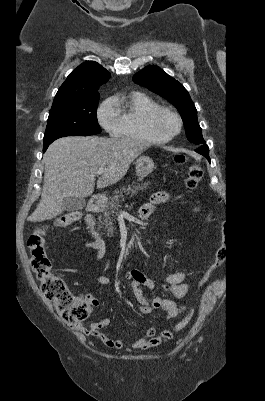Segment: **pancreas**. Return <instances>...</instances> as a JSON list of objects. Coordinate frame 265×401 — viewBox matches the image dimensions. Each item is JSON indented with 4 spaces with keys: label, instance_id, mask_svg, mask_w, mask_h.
I'll list each match as a JSON object with an SVG mask.
<instances>
[{
    "label": "pancreas",
    "instance_id": "obj_1",
    "mask_svg": "<svg viewBox=\"0 0 265 401\" xmlns=\"http://www.w3.org/2000/svg\"><path fill=\"white\" fill-rule=\"evenodd\" d=\"M147 184H149V182H144V184H139V182H137V184H128L127 188L122 186L121 190H114L113 196H110L106 207L103 209L104 223L106 229H108V237H113V231H115L113 227V221H115L114 213H117L119 207H121L120 198H124V194H129V192H131V196H133V194H136L137 190H144ZM101 217H99V219H101Z\"/></svg>",
    "mask_w": 265,
    "mask_h": 401
}]
</instances>
